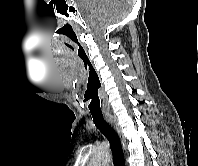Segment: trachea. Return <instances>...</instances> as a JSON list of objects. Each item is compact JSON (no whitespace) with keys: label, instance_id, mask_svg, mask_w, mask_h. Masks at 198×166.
<instances>
[{"label":"trachea","instance_id":"3493384b","mask_svg":"<svg viewBox=\"0 0 198 166\" xmlns=\"http://www.w3.org/2000/svg\"><path fill=\"white\" fill-rule=\"evenodd\" d=\"M91 115L95 126L110 143L114 166H126L121 141L117 132L106 122L102 113H91Z\"/></svg>","mask_w":198,"mask_h":166}]
</instances>
